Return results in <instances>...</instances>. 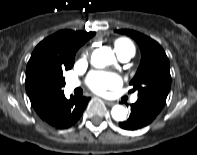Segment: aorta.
<instances>
[{
    "mask_svg": "<svg viewBox=\"0 0 197 155\" xmlns=\"http://www.w3.org/2000/svg\"><path fill=\"white\" fill-rule=\"evenodd\" d=\"M114 60V53L109 47H100L92 53L91 63L96 68H103ZM128 110L122 105H115L111 110L112 118L116 121H124Z\"/></svg>",
    "mask_w": 197,
    "mask_h": 155,
    "instance_id": "aorta-1",
    "label": "aorta"
}]
</instances>
